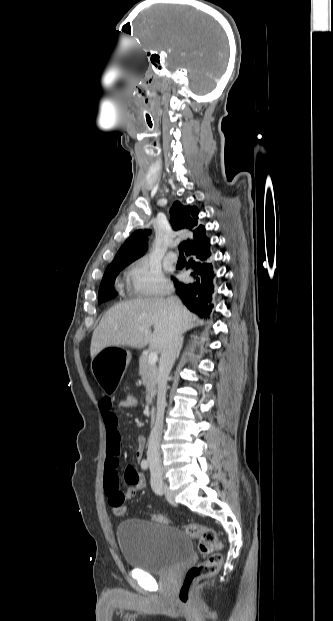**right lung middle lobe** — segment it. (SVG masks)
<instances>
[{
	"label": "right lung middle lobe",
	"instance_id": "right-lung-middle-lobe-1",
	"mask_svg": "<svg viewBox=\"0 0 333 621\" xmlns=\"http://www.w3.org/2000/svg\"><path fill=\"white\" fill-rule=\"evenodd\" d=\"M127 265L128 264H123L119 266L108 267L106 269L98 293L99 303L111 300L117 296V292L114 289V281L119 272Z\"/></svg>",
	"mask_w": 333,
	"mask_h": 621
}]
</instances>
